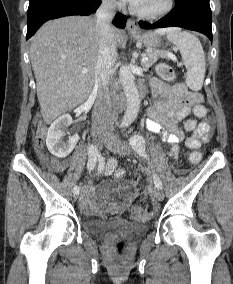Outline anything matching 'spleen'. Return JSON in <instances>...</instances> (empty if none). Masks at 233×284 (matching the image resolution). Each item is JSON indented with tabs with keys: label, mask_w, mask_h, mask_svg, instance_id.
I'll return each instance as SVG.
<instances>
[{
	"label": "spleen",
	"mask_w": 233,
	"mask_h": 284,
	"mask_svg": "<svg viewBox=\"0 0 233 284\" xmlns=\"http://www.w3.org/2000/svg\"><path fill=\"white\" fill-rule=\"evenodd\" d=\"M167 34V39L178 47L184 65L187 69L186 84L193 91L202 89L206 72L205 55L199 39L189 32L179 28L158 30Z\"/></svg>",
	"instance_id": "obj_1"
}]
</instances>
